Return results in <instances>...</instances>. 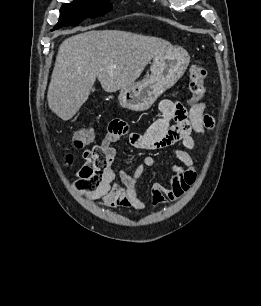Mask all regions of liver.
Wrapping results in <instances>:
<instances>
[{"mask_svg": "<svg viewBox=\"0 0 261 306\" xmlns=\"http://www.w3.org/2000/svg\"><path fill=\"white\" fill-rule=\"evenodd\" d=\"M170 42L118 30H92L65 39L59 46L48 88L49 108L71 119L87 101L96 78L106 92L125 88L140 77Z\"/></svg>", "mask_w": 261, "mask_h": 306, "instance_id": "obj_1", "label": "liver"}]
</instances>
